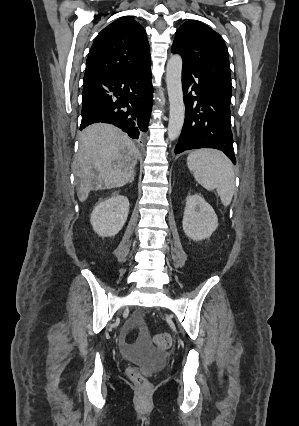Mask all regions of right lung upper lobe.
Returning <instances> with one entry per match:
<instances>
[{
	"label": "right lung upper lobe",
	"mask_w": 299,
	"mask_h": 426,
	"mask_svg": "<svg viewBox=\"0 0 299 426\" xmlns=\"http://www.w3.org/2000/svg\"><path fill=\"white\" fill-rule=\"evenodd\" d=\"M149 64L146 32L133 17L127 16L99 33L87 58L84 80L137 70Z\"/></svg>",
	"instance_id": "obj_1"
}]
</instances>
